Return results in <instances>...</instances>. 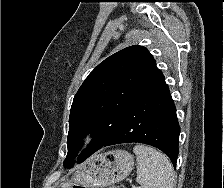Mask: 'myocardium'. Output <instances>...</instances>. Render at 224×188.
<instances>
[{
	"label": "myocardium",
	"instance_id": "f54148a6",
	"mask_svg": "<svg viewBox=\"0 0 224 188\" xmlns=\"http://www.w3.org/2000/svg\"><path fill=\"white\" fill-rule=\"evenodd\" d=\"M88 138H89L88 136L84 137V138L81 140L80 145H81V146H84V145L87 143Z\"/></svg>",
	"mask_w": 224,
	"mask_h": 188
}]
</instances>
